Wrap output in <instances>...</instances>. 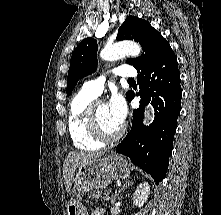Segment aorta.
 <instances>
[{"mask_svg":"<svg viewBox=\"0 0 221 215\" xmlns=\"http://www.w3.org/2000/svg\"><path fill=\"white\" fill-rule=\"evenodd\" d=\"M141 46L135 42H119L111 46H106L101 52L100 57L105 61H116L126 55L139 56ZM151 112L149 109L145 111L144 121L151 120Z\"/></svg>","mask_w":221,"mask_h":215,"instance_id":"1","label":"aorta"}]
</instances>
